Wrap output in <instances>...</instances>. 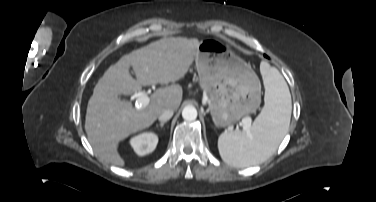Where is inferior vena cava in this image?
<instances>
[{"mask_svg":"<svg viewBox=\"0 0 376 202\" xmlns=\"http://www.w3.org/2000/svg\"><path fill=\"white\" fill-rule=\"evenodd\" d=\"M173 113L172 109H166L159 115L158 119L161 122H167L173 116Z\"/></svg>","mask_w":376,"mask_h":202,"instance_id":"1","label":"inferior vena cava"}]
</instances>
